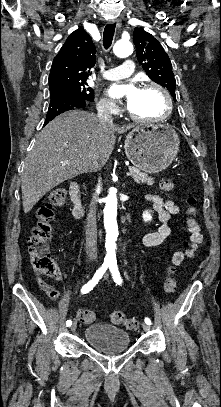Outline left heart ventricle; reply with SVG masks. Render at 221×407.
Masks as SVG:
<instances>
[{"label":"left heart ventricle","mask_w":221,"mask_h":407,"mask_svg":"<svg viewBox=\"0 0 221 407\" xmlns=\"http://www.w3.org/2000/svg\"><path fill=\"white\" fill-rule=\"evenodd\" d=\"M130 110L141 118H158L165 112V99L157 89L140 90Z\"/></svg>","instance_id":"left-heart-ventricle-1"}]
</instances>
